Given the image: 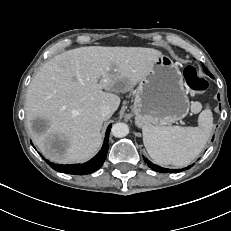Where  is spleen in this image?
Wrapping results in <instances>:
<instances>
[{"instance_id":"1","label":"spleen","mask_w":231,"mask_h":231,"mask_svg":"<svg viewBox=\"0 0 231 231\" xmlns=\"http://www.w3.org/2000/svg\"><path fill=\"white\" fill-rule=\"evenodd\" d=\"M198 127L144 126L143 142L150 157L157 163L177 167L190 164L205 147L213 127L209 108L198 117Z\"/></svg>"}]
</instances>
